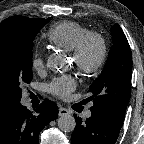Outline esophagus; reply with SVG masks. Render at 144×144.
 <instances>
[{"label":"esophagus","instance_id":"1","mask_svg":"<svg viewBox=\"0 0 144 144\" xmlns=\"http://www.w3.org/2000/svg\"><path fill=\"white\" fill-rule=\"evenodd\" d=\"M68 114H70V111L67 108H65V107L59 108V113H58L59 116H65Z\"/></svg>","mask_w":144,"mask_h":144}]
</instances>
